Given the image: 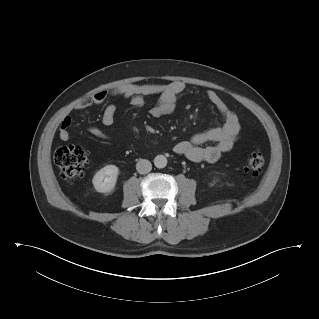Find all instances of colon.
<instances>
[{"instance_id":"colon-1","label":"colon","mask_w":319,"mask_h":319,"mask_svg":"<svg viewBox=\"0 0 319 319\" xmlns=\"http://www.w3.org/2000/svg\"><path fill=\"white\" fill-rule=\"evenodd\" d=\"M55 163L65 179H80L85 174L87 152L79 145L62 146L55 153ZM264 163L260 148L254 147L247 158L245 169L250 173H258Z\"/></svg>"}]
</instances>
